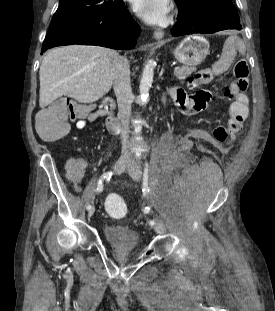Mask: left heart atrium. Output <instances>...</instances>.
I'll use <instances>...</instances> for the list:
<instances>
[{"instance_id": "39dd6f15", "label": "left heart atrium", "mask_w": 275, "mask_h": 311, "mask_svg": "<svg viewBox=\"0 0 275 311\" xmlns=\"http://www.w3.org/2000/svg\"><path fill=\"white\" fill-rule=\"evenodd\" d=\"M133 11L146 23L164 25L170 18V0H131Z\"/></svg>"}]
</instances>
